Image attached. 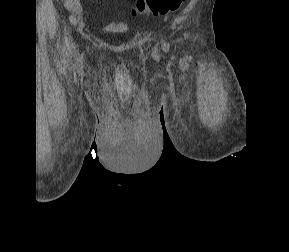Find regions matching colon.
Returning a JSON list of instances; mask_svg holds the SVG:
<instances>
[{
  "label": "colon",
  "instance_id": "colon-1",
  "mask_svg": "<svg viewBox=\"0 0 289 252\" xmlns=\"http://www.w3.org/2000/svg\"><path fill=\"white\" fill-rule=\"evenodd\" d=\"M184 0H137L133 7L134 14L166 15L177 11Z\"/></svg>",
  "mask_w": 289,
  "mask_h": 252
}]
</instances>
